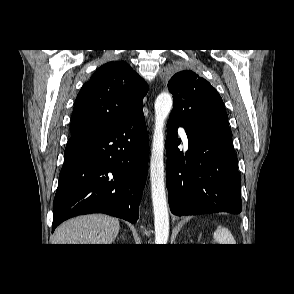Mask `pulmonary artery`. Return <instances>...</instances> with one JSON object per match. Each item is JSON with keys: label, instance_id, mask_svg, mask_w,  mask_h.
<instances>
[{"label": "pulmonary artery", "instance_id": "obj_1", "mask_svg": "<svg viewBox=\"0 0 294 294\" xmlns=\"http://www.w3.org/2000/svg\"><path fill=\"white\" fill-rule=\"evenodd\" d=\"M178 133H179V135H180L182 141L184 142V144L187 145V143H188V138H187V135H186V132H185L184 128L179 127V128H178Z\"/></svg>", "mask_w": 294, "mask_h": 294}]
</instances>
